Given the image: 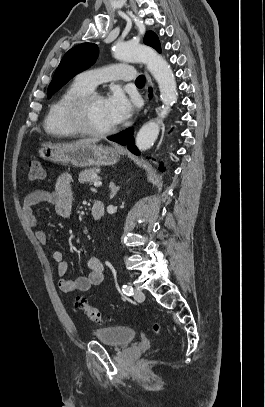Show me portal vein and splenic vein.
<instances>
[{"label": "portal vein and splenic vein", "mask_w": 265, "mask_h": 407, "mask_svg": "<svg viewBox=\"0 0 265 407\" xmlns=\"http://www.w3.org/2000/svg\"><path fill=\"white\" fill-rule=\"evenodd\" d=\"M93 185H94L95 187H99V186L102 185V182H101L100 180H95V181L93 182Z\"/></svg>", "instance_id": "18ae733b"}]
</instances>
